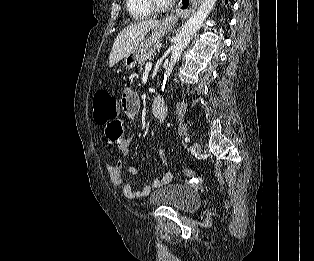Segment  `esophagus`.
<instances>
[{
    "mask_svg": "<svg viewBox=\"0 0 314 261\" xmlns=\"http://www.w3.org/2000/svg\"><path fill=\"white\" fill-rule=\"evenodd\" d=\"M191 3H180L176 9V14L177 15H182V16H189L192 12L195 11L197 6L200 4L201 0H190ZM185 5L187 7L185 8Z\"/></svg>",
    "mask_w": 314,
    "mask_h": 261,
    "instance_id": "esophagus-1",
    "label": "esophagus"
}]
</instances>
